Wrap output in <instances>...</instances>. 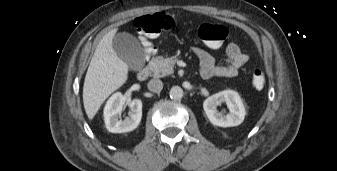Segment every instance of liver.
Listing matches in <instances>:
<instances>
[{
  "label": "liver",
  "mask_w": 337,
  "mask_h": 171,
  "mask_svg": "<svg viewBox=\"0 0 337 171\" xmlns=\"http://www.w3.org/2000/svg\"><path fill=\"white\" fill-rule=\"evenodd\" d=\"M117 29H112L100 40L89 64L83 86V104L91 120L110 94L128 78V65L113 48Z\"/></svg>",
  "instance_id": "obj_1"
}]
</instances>
